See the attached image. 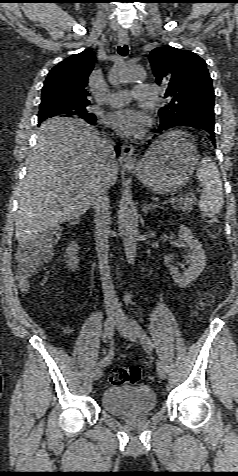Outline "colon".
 <instances>
[{"label": "colon", "mask_w": 238, "mask_h": 476, "mask_svg": "<svg viewBox=\"0 0 238 476\" xmlns=\"http://www.w3.org/2000/svg\"><path fill=\"white\" fill-rule=\"evenodd\" d=\"M206 230L209 235L215 236L219 232L218 221L214 218L207 220ZM59 231L51 230L43 239H35L20 244L17 250V276L20 287L25 290L34 273L43 265L51 253V246L57 240ZM213 300L212 294H205L198 309L209 305ZM140 378V369L137 366H127L113 369L110 373V382L114 385L135 384Z\"/></svg>", "instance_id": "obj_1"}]
</instances>
